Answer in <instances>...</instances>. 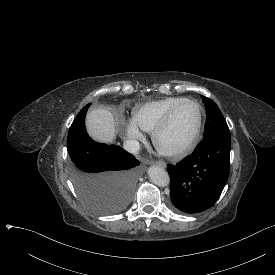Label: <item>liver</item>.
<instances>
[{"mask_svg":"<svg viewBox=\"0 0 275 275\" xmlns=\"http://www.w3.org/2000/svg\"><path fill=\"white\" fill-rule=\"evenodd\" d=\"M86 127L89 135L99 142L110 143L116 138L114 116L106 108L90 111L86 116Z\"/></svg>","mask_w":275,"mask_h":275,"instance_id":"liver-1","label":"liver"}]
</instances>
